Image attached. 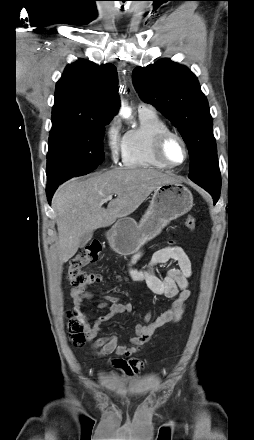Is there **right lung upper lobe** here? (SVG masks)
<instances>
[{
    "mask_svg": "<svg viewBox=\"0 0 254 440\" xmlns=\"http://www.w3.org/2000/svg\"><path fill=\"white\" fill-rule=\"evenodd\" d=\"M117 72L112 64L98 66L79 59L64 70L56 84L52 116L72 114L109 120L119 109Z\"/></svg>",
    "mask_w": 254,
    "mask_h": 440,
    "instance_id": "1",
    "label": "right lung upper lobe"
}]
</instances>
